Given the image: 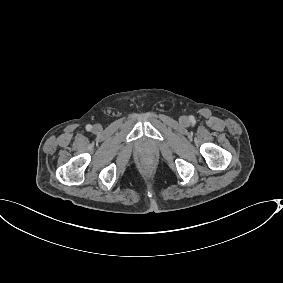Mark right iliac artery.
Returning <instances> with one entry per match:
<instances>
[{
    "mask_svg": "<svg viewBox=\"0 0 283 283\" xmlns=\"http://www.w3.org/2000/svg\"><path fill=\"white\" fill-rule=\"evenodd\" d=\"M91 129H92V126H91L90 124H88V125L86 126V130H87V131H91Z\"/></svg>",
    "mask_w": 283,
    "mask_h": 283,
    "instance_id": "82829eb1",
    "label": "right iliac artery"
}]
</instances>
